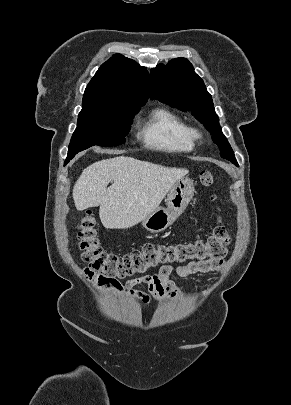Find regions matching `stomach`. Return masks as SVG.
<instances>
[{"label":"stomach","mask_w":291,"mask_h":405,"mask_svg":"<svg viewBox=\"0 0 291 405\" xmlns=\"http://www.w3.org/2000/svg\"><path fill=\"white\" fill-rule=\"evenodd\" d=\"M194 195V184L189 178H181L169 190L166 206L158 207L141 221L152 232L164 231L184 212Z\"/></svg>","instance_id":"stomach-1"}]
</instances>
